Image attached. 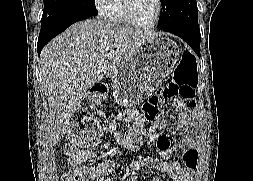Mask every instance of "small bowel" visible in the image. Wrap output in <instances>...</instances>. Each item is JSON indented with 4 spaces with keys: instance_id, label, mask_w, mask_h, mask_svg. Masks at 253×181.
<instances>
[{
    "instance_id": "small-bowel-1",
    "label": "small bowel",
    "mask_w": 253,
    "mask_h": 181,
    "mask_svg": "<svg viewBox=\"0 0 253 181\" xmlns=\"http://www.w3.org/2000/svg\"><path fill=\"white\" fill-rule=\"evenodd\" d=\"M167 116L176 118L173 132L187 130V135L179 143L182 149L183 163L177 161H168L165 159L153 158L144 163L131 162L126 171L129 174L127 181H135L136 171L143 165L159 173L166 174L172 181H191L198 166L199 151L197 147V130L198 123L196 113L191 108L184 106L182 98H176L173 102V109L166 112ZM125 119L134 121L132 131L126 135L117 128L114 120L104 122L103 131L112 134L116 142L124 147L136 148L143 136L149 142L157 140L160 149L169 153L171 149V137L169 136L170 128L167 120H162L157 133L146 132L143 128V119L135 110H129L124 114ZM68 163L73 174L81 176L83 181H109L115 174L116 163L114 161H105L99 165H93L92 162L97 158L93 151L79 149L77 147L66 150ZM152 181H165V178H156Z\"/></svg>"
}]
</instances>
